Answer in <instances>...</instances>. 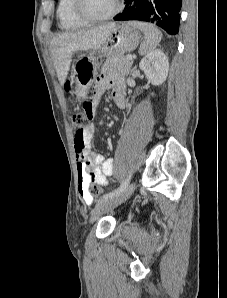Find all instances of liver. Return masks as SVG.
Segmentation results:
<instances>
[{
  "instance_id": "1",
  "label": "liver",
  "mask_w": 227,
  "mask_h": 298,
  "mask_svg": "<svg viewBox=\"0 0 227 298\" xmlns=\"http://www.w3.org/2000/svg\"><path fill=\"white\" fill-rule=\"evenodd\" d=\"M115 23H108L89 30L66 32L51 40V55L56 67L61 86H64L72 62V56L81 51H88L102 43L110 36Z\"/></svg>"
}]
</instances>
